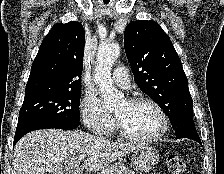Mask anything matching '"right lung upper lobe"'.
Listing matches in <instances>:
<instances>
[{
	"mask_svg": "<svg viewBox=\"0 0 224 174\" xmlns=\"http://www.w3.org/2000/svg\"><path fill=\"white\" fill-rule=\"evenodd\" d=\"M85 33L78 22L57 23L43 40L25 94L81 89Z\"/></svg>",
	"mask_w": 224,
	"mask_h": 174,
	"instance_id": "cb5924a9",
	"label": "right lung upper lobe"
}]
</instances>
